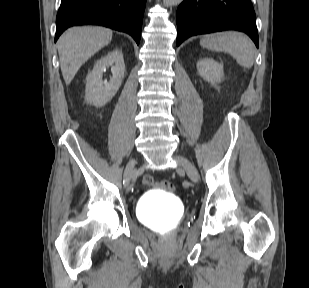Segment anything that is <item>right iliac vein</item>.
<instances>
[{
	"instance_id": "obj_1",
	"label": "right iliac vein",
	"mask_w": 309,
	"mask_h": 288,
	"mask_svg": "<svg viewBox=\"0 0 309 288\" xmlns=\"http://www.w3.org/2000/svg\"><path fill=\"white\" fill-rule=\"evenodd\" d=\"M135 165H136V161L134 159H131L128 162L125 168V173H124L126 178H133L135 176V172H136Z\"/></svg>"
}]
</instances>
